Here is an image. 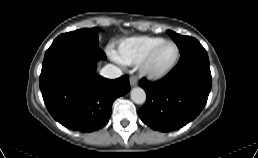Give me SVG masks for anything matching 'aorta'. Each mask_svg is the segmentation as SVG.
<instances>
[{"mask_svg": "<svg viewBox=\"0 0 258 158\" xmlns=\"http://www.w3.org/2000/svg\"><path fill=\"white\" fill-rule=\"evenodd\" d=\"M131 99L136 104H143L146 101V93L144 89L135 87L130 93Z\"/></svg>", "mask_w": 258, "mask_h": 158, "instance_id": "obj_1", "label": "aorta"}]
</instances>
